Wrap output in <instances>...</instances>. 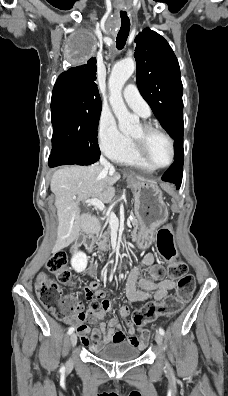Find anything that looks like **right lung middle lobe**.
<instances>
[{
  "label": "right lung middle lobe",
  "mask_w": 228,
  "mask_h": 396,
  "mask_svg": "<svg viewBox=\"0 0 228 396\" xmlns=\"http://www.w3.org/2000/svg\"><path fill=\"white\" fill-rule=\"evenodd\" d=\"M92 52L88 40L78 42L79 59ZM101 114V100L80 96L72 89L55 87L51 99L53 125L51 155L72 164L90 165L100 156L97 129Z\"/></svg>",
  "instance_id": "right-lung-middle-lobe-1"
}]
</instances>
